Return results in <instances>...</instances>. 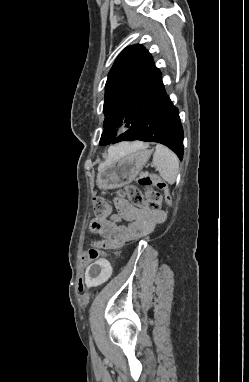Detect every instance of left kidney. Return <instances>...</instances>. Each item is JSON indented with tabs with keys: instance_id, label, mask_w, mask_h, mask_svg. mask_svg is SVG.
<instances>
[{
	"instance_id": "5707ae66",
	"label": "left kidney",
	"mask_w": 249,
	"mask_h": 382,
	"mask_svg": "<svg viewBox=\"0 0 249 382\" xmlns=\"http://www.w3.org/2000/svg\"><path fill=\"white\" fill-rule=\"evenodd\" d=\"M95 264L100 267V270H86V276L83 277L84 284L92 289H97L98 284H106L114 272V267L110 266L109 260L99 259Z\"/></svg>"
}]
</instances>
